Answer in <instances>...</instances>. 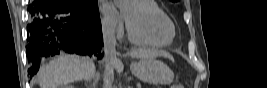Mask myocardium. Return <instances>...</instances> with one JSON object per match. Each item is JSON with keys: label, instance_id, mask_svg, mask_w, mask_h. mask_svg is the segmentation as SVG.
<instances>
[{"label": "myocardium", "instance_id": "f54148a6", "mask_svg": "<svg viewBox=\"0 0 267 88\" xmlns=\"http://www.w3.org/2000/svg\"><path fill=\"white\" fill-rule=\"evenodd\" d=\"M132 2L137 7L147 10L154 19L167 22L171 28V35L168 38H163L161 36L154 35L152 33L145 31V30H142V29H139V28L132 26L131 23L127 19L126 20V27H127L129 35L131 37H134V38L146 41V42H150V43H155V44H160V45L170 44L174 40L175 35H176L174 23L170 19L165 18L161 12L156 11V10H151L150 8H148L147 6H145L142 3H139L138 1H132Z\"/></svg>", "mask_w": 267, "mask_h": 88}]
</instances>
